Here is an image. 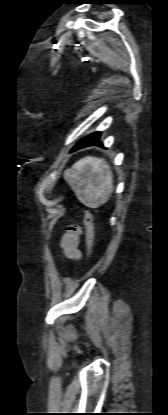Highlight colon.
<instances>
[{
  "label": "colon",
  "instance_id": "1",
  "mask_svg": "<svg viewBox=\"0 0 168 415\" xmlns=\"http://www.w3.org/2000/svg\"><path fill=\"white\" fill-rule=\"evenodd\" d=\"M84 224L86 228V242L90 255L93 253L95 245V229L93 224V217L89 211L84 212Z\"/></svg>",
  "mask_w": 168,
  "mask_h": 415
}]
</instances>
